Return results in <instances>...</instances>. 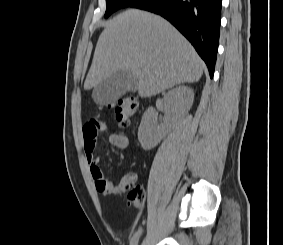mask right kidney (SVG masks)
<instances>
[{"mask_svg": "<svg viewBox=\"0 0 283 245\" xmlns=\"http://www.w3.org/2000/svg\"><path fill=\"white\" fill-rule=\"evenodd\" d=\"M194 100V92L190 87L178 86L170 91L163 98L166 121L163 126L157 122L155 108L149 107L143 114L138 129V140L144 150H150L165 137L170 121L183 117L191 108Z\"/></svg>", "mask_w": 283, "mask_h": 245, "instance_id": "right-kidney-1", "label": "right kidney"}]
</instances>
